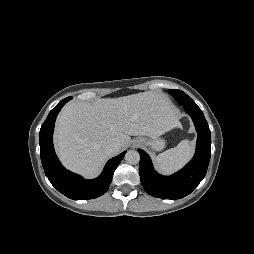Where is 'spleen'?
I'll return each instance as SVG.
<instances>
[{
	"label": "spleen",
	"instance_id": "3e777b00",
	"mask_svg": "<svg viewBox=\"0 0 254 254\" xmlns=\"http://www.w3.org/2000/svg\"><path fill=\"white\" fill-rule=\"evenodd\" d=\"M194 145L182 140L175 148L166 150L154 158L155 167L164 174H171L184 166L192 157Z\"/></svg>",
	"mask_w": 254,
	"mask_h": 254
}]
</instances>
